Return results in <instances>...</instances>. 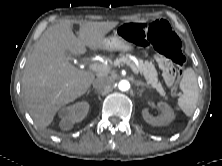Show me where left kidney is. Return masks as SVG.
<instances>
[{"label": "left kidney", "instance_id": "1", "mask_svg": "<svg viewBox=\"0 0 222 166\" xmlns=\"http://www.w3.org/2000/svg\"><path fill=\"white\" fill-rule=\"evenodd\" d=\"M158 108L162 111V115L159 117H152L149 114V111L147 108L142 110V116L143 119L153 125V126H165L168 125L174 118L175 114L172 108L165 102H158L157 104Z\"/></svg>", "mask_w": 222, "mask_h": 166}]
</instances>
